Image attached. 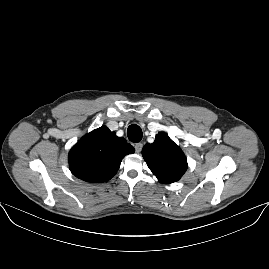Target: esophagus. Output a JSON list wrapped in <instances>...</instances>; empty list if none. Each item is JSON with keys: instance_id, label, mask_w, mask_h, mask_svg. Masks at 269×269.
<instances>
[{"instance_id": "34e87169", "label": "esophagus", "mask_w": 269, "mask_h": 269, "mask_svg": "<svg viewBox=\"0 0 269 269\" xmlns=\"http://www.w3.org/2000/svg\"><path fill=\"white\" fill-rule=\"evenodd\" d=\"M134 148H135L136 153H140L142 148H143V144L142 143H136Z\"/></svg>"}]
</instances>
